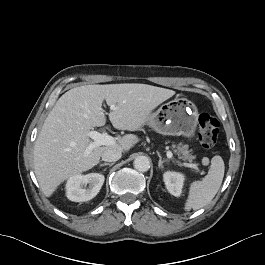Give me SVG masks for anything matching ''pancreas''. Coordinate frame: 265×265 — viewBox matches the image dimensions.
Here are the masks:
<instances>
[{
  "instance_id": "obj_1",
  "label": "pancreas",
  "mask_w": 265,
  "mask_h": 265,
  "mask_svg": "<svg viewBox=\"0 0 265 265\" xmlns=\"http://www.w3.org/2000/svg\"><path fill=\"white\" fill-rule=\"evenodd\" d=\"M173 147L175 148L176 146L173 145ZM190 152L191 151L188 149V145H183L182 143H179L176 149H174V153L177 154L180 159H182L183 161L192 162L194 157L191 155Z\"/></svg>"
}]
</instances>
